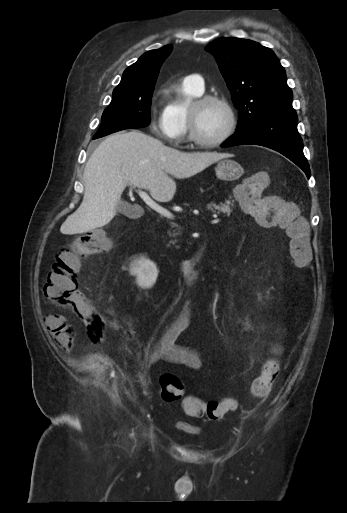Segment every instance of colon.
<instances>
[{"instance_id": "colon-1", "label": "colon", "mask_w": 347, "mask_h": 513, "mask_svg": "<svg viewBox=\"0 0 347 513\" xmlns=\"http://www.w3.org/2000/svg\"><path fill=\"white\" fill-rule=\"evenodd\" d=\"M266 183L267 179L263 174H254L246 181L238 183L237 200L244 210L255 216L259 225L284 229L290 239V252L295 265L305 268L312 259L306 224L293 203L284 202L276 196H262ZM110 245V238L102 231L83 234L68 248L57 253L44 284V293L49 300L63 308L75 310L76 316L80 317L81 325L88 328L94 344H100L105 339L104 322L97 312L95 301L85 300L79 291L77 274L82 257L106 251ZM271 355L278 357L280 350L273 348ZM278 371L279 365L276 360L266 361L262 373L251 384L252 395L257 398L267 397ZM160 389L165 402L182 401L184 412L191 417L220 420L235 408V402L230 398L203 401L185 396L181 379L173 373L161 375Z\"/></svg>"}]
</instances>
